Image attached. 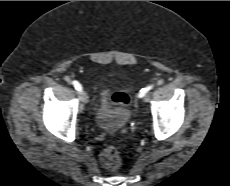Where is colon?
Wrapping results in <instances>:
<instances>
[{
	"mask_svg": "<svg viewBox=\"0 0 230 186\" xmlns=\"http://www.w3.org/2000/svg\"><path fill=\"white\" fill-rule=\"evenodd\" d=\"M111 101L113 104L124 105L126 107L129 106L130 103L129 96L122 91L115 92L111 97ZM100 161L108 170L119 168L122 164L120 149L113 146L106 147L100 155Z\"/></svg>",
	"mask_w": 230,
	"mask_h": 186,
	"instance_id": "1",
	"label": "colon"
}]
</instances>
